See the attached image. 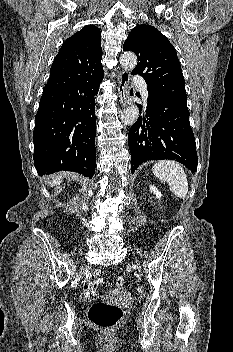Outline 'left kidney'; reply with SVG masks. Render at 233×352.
I'll use <instances>...</instances> for the list:
<instances>
[{
    "instance_id": "5707ae66",
    "label": "left kidney",
    "mask_w": 233,
    "mask_h": 352,
    "mask_svg": "<svg viewBox=\"0 0 233 352\" xmlns=\"http://www.w3.org/2000/svg\"><path fill=\"white\" fill-rule=\"evenodd\" d=\"M149 188H150V192L156 195V198L158 199L161 198L162 196L161 192L154 185H150Z\"/></svg>"
}]
</instances>
